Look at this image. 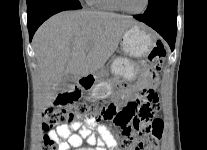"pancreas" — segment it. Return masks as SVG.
Returning a JSON list of instances; mask_svg holds the SVG:
<instances>
[{"label": "pancreas", "mask_w": 207, "mask_h": 150, "mask_svg": "<svg viewBox=\"0 0 207 150\" xmlns=\"http://www.w3.org/2000/svg\"><path fill=\"white\" fill-rule=\"evenodd\" d=\"M103 75L106 76V75H107V72L104 71V72H103Z\"/></svg>", "instance_id": "pancreas-1"}]
</instances>
